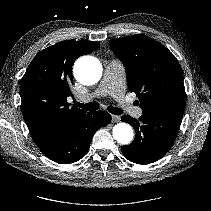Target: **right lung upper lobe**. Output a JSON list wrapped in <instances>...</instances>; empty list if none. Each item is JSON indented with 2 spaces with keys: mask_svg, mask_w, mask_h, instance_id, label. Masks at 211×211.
Segmentation results:
<instances>
[{
  "mask_svg": "<svg viewBox=\"0 0 211 211\" xmlns=\"http://www.w3.org/2000/svg\"><path fill=\"white\" fill-rule=\"evenodd\" d=\"M98 42L65 41L38 53L21 79L22 113L40 150L51 145L61 132L86 111L69 107L74 61L99 47Z\"/></svg>",
  "mask_w": 211,
  "mask_h": 211,
  "instance_id": "right-lung-upper-lobe-1",
  "label": "right lung upper lobe"
}]
</instances>
